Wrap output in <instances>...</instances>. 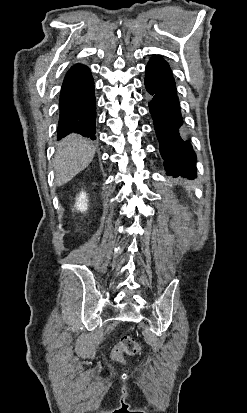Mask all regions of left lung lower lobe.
<instances>
[{"mask_svg": "<svg viewBox=\"0 0 247 413\" xmlns=\"http://www.w3.org/2000/svg\"><path fill=\"white\" fill-rule=\"evenodd\" d=\"M145 87L151 96L149 110L167 175L196 178V155L183 135V120L173 75L162 57L154 55L148 62Z\"/></svg>", "mask_w": 247, "mask_h": 413, "instance_id": "obj_1", "label": "left lung lower lobe"}]
</instances>
